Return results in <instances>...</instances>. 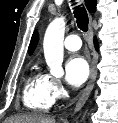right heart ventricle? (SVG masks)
I'll return each instance as SVG.
<instances>
[{"label": "right heart ventricle", "mask_w": 118, "mask_h": 123, "mask_svg": "<svg viewBox=\"0 0 118 123\" xmlns=\"http://www.w3.org/2000/svg\"><path fill=\"white\" fill-rule=\"evenodd\" d=\"M23 101L26 107L36 111H49L54 105L51 98L45 76L39 72H33L26 80Z\"/></svg>", "instance_id": "right-heart-ventricle-1"}]
</instances>
